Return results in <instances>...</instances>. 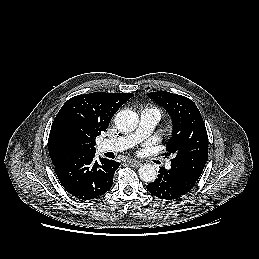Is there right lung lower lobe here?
I'll list each match as a JSON object with an SVG mask.
<instances>
[{"instance_id": "right-lung-lower-lobe-1", "label": "right lung lower lobe", "mask_w": 259, "mask_h": 259, "mask_svg": "<svg viewBox=\"0 0 259 259\" xmlns=\"http://www.w3.org/2000/svg\"><path fill=\"white\" fill-rule=\"evenodd\" d=\"M119 162L95 159V153L75 155L54 165L61 185L78 199L90 200L105 194L113 183Z\"/></svg>"}]
</instances>
